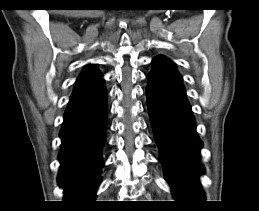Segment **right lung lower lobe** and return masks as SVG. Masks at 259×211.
Wrapping results in <instances>:
<instances>
[{
  "label": "right lung lower lobe",
  "mask_w": 259,
  "mask_h": 211,
  "mask_svg": "<svg viewBox=\"0 0 259 211\" xmlns=\"http://www.w3.org/2000/svg\"><path fill=\"white\" fill-rule=\"evenodd\" d=\"M107 91L103 81L71 97L60 131L58 183L67 202L91 201L101 183L102 148L106 141Z\"/></svg>",
  "instance_id": "1"
}]
</instances>
